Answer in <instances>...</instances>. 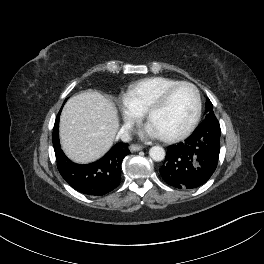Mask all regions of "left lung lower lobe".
<instances>
[{
  "label": "left lung lower lobe",
  "instance_id": "obj_1",
  "mask_svg": "<svg viewBox=\"0 0 264 264\" xmlns=\"http://www.w3.org/2000/svg\"><path fill=\"white\" fill-rule=\"evenodd\" d=\"M220 136L219 122L204 120L185 142L168 148L160 168L163 179L179 189L207 182L217 167Z\"/></svg>",
  "mask_w": 264,
  "mask_h": 264
}]
</instances>
